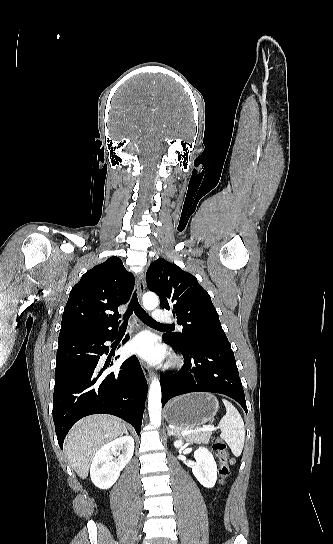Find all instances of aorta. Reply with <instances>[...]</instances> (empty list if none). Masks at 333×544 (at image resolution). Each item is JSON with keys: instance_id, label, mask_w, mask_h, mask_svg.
<instances>
[{"instance_id": "aorta-1", "label": "aorta", "mask_w": 333, "mask_h": 544, "mask_svg": "<svg viewBox=\"0 0 333 544\" xmlns=\"http://www.w3.org/2000/svg\"><path fill=\"white\" fill-rule=\"evenodd\" d=\"M159 304V299L155 293L147 292L143 295V306L147 310L155 309ZM148 411L152 425L159 427L161 425V387L157 378L151 382L148 393Z\"/></svg>"}]
</instances>
